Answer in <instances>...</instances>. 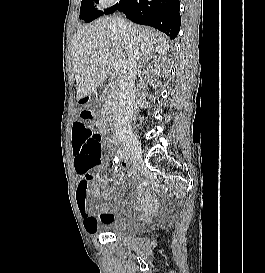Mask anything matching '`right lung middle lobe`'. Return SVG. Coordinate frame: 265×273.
<instances>
[{
  "mask_svg": "<svg viewBox=\"0 0 265 273\" xmlns=\"http://www.w3.org/2000/svg\"><path fill=\"white\" fill-rule=\"evenodd\" d=\"M94 3H98V0H82L80 8V19H83L85 22H91L95 18L101 16L103 13L110 14L114 12L116 5L111 8L105 9L103 11H98L95 9Z\"/></svg>",
  "mask_w": 265,
  "mask_h": 273,
  "instance_id": "right-lung-middle-lobe-1",
  "label": "right lung middle lobe"
}]
</instances>
